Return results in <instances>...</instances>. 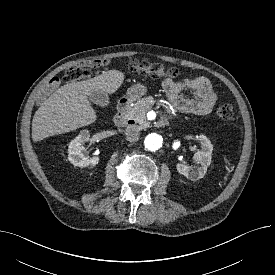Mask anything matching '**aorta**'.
Masks as SVG:
<instances>
[{"instance_id": "762f6f07", "label": "aorta", "mask_w": 275, "mask_h": 275, "mask_svg": "<svg viewBox=\"0 0 275 275\" xmlns=\"http://www.w3.org/2000/svg\"><path fill=\"white\" fill-rule=\"evenodd\" d=\"M145 147L150 151L159 150L163 145V138L161 135L151 133L146 136L144 141Z\"/></svg>"}]
</instances>
